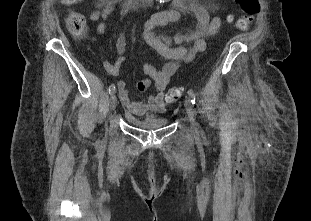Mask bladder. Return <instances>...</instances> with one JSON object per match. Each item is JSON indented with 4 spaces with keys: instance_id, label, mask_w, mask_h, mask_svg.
I'll use <instances>...</instances> for the list:
<instances>
[{
    "instance_id": "1",
    "label": "bladder",
    "mask_w": 311,
    "mask_h": 221,
    "mask_svg": "<svg viewBox=\"0 0 311 221\" xmlns=\"http://www.w3.org/2000/svg\"><path fill=\"white\" fill-rule=\"evenodd\" d=\"M126 118L131 119V123L137 125L144 130H157L165 128L169 125L170 119L155 114H144L141 118H137L129 112H124Z\"/></svg>"
}]
</instances>
